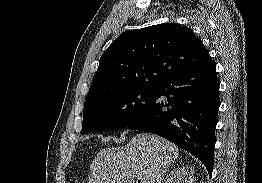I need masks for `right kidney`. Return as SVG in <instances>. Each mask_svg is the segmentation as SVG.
<instances>
[{"label":"right kidney","mask_w":262,"mask_h":183,"mask_svg":"<svg viewBox=\"0 0 262 183\" xmlns=\"http://www.w3.org/2000/svg\"><path fill=\"white\" fill-rule=\"evenodd\" d=\"M194 170L191 167L174 168L165 183H193Z\"/></svg>","instance_id":"ca27d5eb"}]
</instances>
